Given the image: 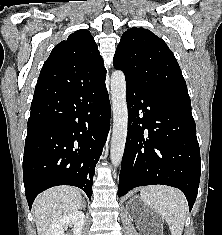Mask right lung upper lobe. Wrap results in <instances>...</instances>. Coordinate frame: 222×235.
<instances>
[{
  "label": "right lung upper lobe",
  "instance_id": "1",
  "mask_svg": "<svg viewBox=\"0 0 222 235\" xmlns=\"http://www.w3.org/2000/svg\"><path fill=\"white\" fill-rule=\"evenodd\" d=\"M106 75L97 44L88 30H77L57 44L45 61L36 86L65 88L94 81ZM32 104V103H31ZM50 118L46 113L30 114L28 123Z\"/></svg>",
  "mask_w": 222,
  "mask_h": 235
}]
</instances>
